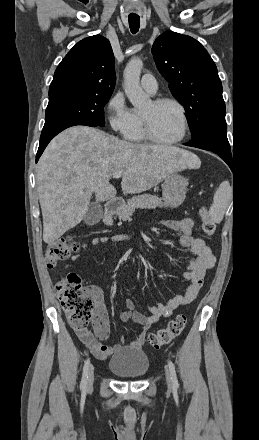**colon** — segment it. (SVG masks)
Wrapping results in <instances>:
<instances>
[{
	"label": "colon",
	"mask_w": 259,
	"mask_h": 440,
	"mask_svg": "<svg viewBox=\"0 0 259 440\" xmlns=\"http://www.w3.org/2000/svg\"><path fill=\"white\" fill-rule=\"evenodd\" d=\"M200 216L203 232L212 236L215 233L216 225L208 215L206 208H201ZM77 250L78 244L70 236L58 238L46 249V264L52 268L59 262L68 259ZM55 288L69 324L76 329L87 328L95 308L92 287H84L78 274L69 273L56 283ZM185 325L186 317L179 315L171 320L165 328L150 334L148 342L153 348L170 344L181 334Z\"/></svg>",
	"instance_id": "1"
}]
</instances>
